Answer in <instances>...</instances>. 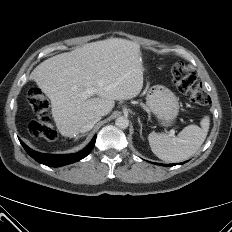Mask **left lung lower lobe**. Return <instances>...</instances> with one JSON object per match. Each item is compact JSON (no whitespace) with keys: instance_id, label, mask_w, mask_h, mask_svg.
I'll use <instances>...</instances> for the list:
<instances>
[{"instance_id":"left-lung-lower-lobe-1","label":"left lung lower lobe","mask_w":232,"mask_h":232,"mask_svg":"<svg viewBox=\"0 0 232 232\" xmlns=\"http://www.w3.org/2000/svg\"><path fill=\"white\" fill-rule=\"evenodd\" d=\"M158 165H163V166H174L176 164H158Z\"/></svg>"}]
</instances>
